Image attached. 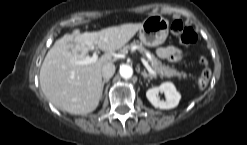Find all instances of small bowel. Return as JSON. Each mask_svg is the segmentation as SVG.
<instances>
[{"label": "small bowel", "mask_w": 247, "mask_h": 145, "mask_svg": "<svg viewBox=\"0 0 247 145\" xmlns=\"http://www.w3.org/2000/svg\"><path fill=\"white\" fill-rule=\"evenodd\" d=\"M157 54L161 58L176 62L182 58L183 51L175 46H167L159 48Z\"/></svg>", "instance_id": "obj_1"}]
</instances>
